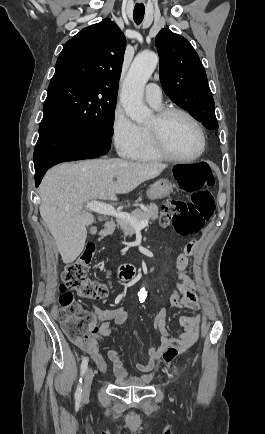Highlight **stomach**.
I'll list each match as a JSON object with an SVG mask.
<instances>
[{"mask_svg":"<svg viewBox=\"0 0 265 434\" xmlns=\"http://www.w3.org/2000/svg\"><path fill=\"white\" fill-rule=\"evenodd\" d=\"M173 192V184L169 180H157L155 184L150 186L147 190V196L149 200H160V198H166Z\"/></svg>","mask_w":265,"mask_h":434,"instance_id":"obj_1","label":"stomach"}]
</instances>
